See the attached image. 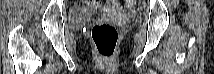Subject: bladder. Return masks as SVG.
Listing matches in <instances>:
<instances>
[{
	"label": "bladder",
	"instance_id": "31cf9c89",
	"mask_svg": "<svg viewBox=\"0 0 214 74\" xmlns=\"http://www.w3.org/2000/svg\"><path fill=\"white\" fill-rule=\"evenodd\" d=\"M91 14L82 8H75L69 14V20L71 23L79 22L83 23L85 20L89 19Z\"/></svg>",
	"mask_w": 214,
	"mask_h": 74
}]
</instances>
